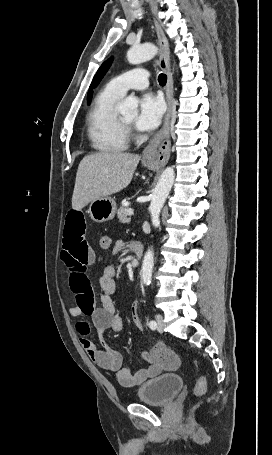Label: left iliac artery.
Returning <instances> with one entry per match:
<instances>
[{
  "label": "left iliac artery",
  "instance_id": "left-iliac-artery-1",
  "mask_svg": "<svg viewBox=\"0 0 272 455\" xmlns=\"http://www.w3.org/2000/svg\"><path fill=\"white\" fill-rule=\"evenodd\" d=\"M156 322L154 320H151L149 322V327L152 329V330H155L156 329Z\"/></svg>",
  "mask_w": 272,
  "mask_h": 455
}]
</instances>
